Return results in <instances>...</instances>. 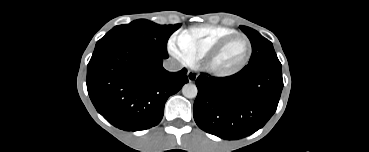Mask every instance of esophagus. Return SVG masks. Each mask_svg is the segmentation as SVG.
Here are the masks:
<instances>
[{
	"label": "esophagus",
	"instance_id": "1",
	"mask_svg": "<svg viewBox=\"0 0 369 152\" xmlns=\"http://www.w3.org/2000/svg\"><path fill=\"white\" fill-rule=\"evenodd\" d=\"M187 77H188L189 82H194L197 79L198 75L194 71H188Z\"/></svg>",
	"mask_w": 369,
	"mask_h": 152
}]
</instances>
